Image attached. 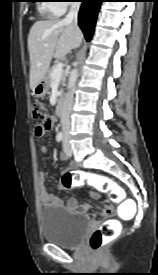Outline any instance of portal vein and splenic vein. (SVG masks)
<instances>
[{"instance_id": "portal-vein-and-splenic-vein-1", "label": "portal vein and splenic vein", "mask_w": 158, "mask_h": 275, "mask_svg": "<svg viewBox=\"0 0 158 275\" xmlns=\"http://www.w3.org/2000/svg\"><path fill=\"white\" fill-rule=\"evenodd\" d=\"M62 73H63V63H58L56 65V67L54 68V70H53V72L51 74V77L54 80H58V79L61 78Z\"/></svg>"}]
</instances>
